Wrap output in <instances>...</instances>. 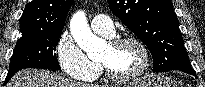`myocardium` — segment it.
Segmentation results:
<instances>
[{"label": "myocardium", "instance_id": "obj_1", "mask_svg": "<svg viewBox=\"0 0 205 87\" xmlns=\"http://www.w3.org/2000/svg\"><path fill=\"white\" fill-rule=\"evenodd\" d=\"M125 44L136 45L142 53L143 61H142L140 68L137 71H135L134 73L128 74V75H118L112 72L110 68L104 62H101V61L99 62L106 77L118 83H128V82H132V81L139 79L147 71V69L149 68V64H150L149 50L147 46L144 44V42H142L140 39L127 36V37H120V38L114 39L110 42V45L112 47H118V46L125 45Z\"/></svg>", "mask_w": 205, "mask_h": 87}]
</instances>
